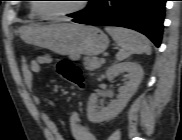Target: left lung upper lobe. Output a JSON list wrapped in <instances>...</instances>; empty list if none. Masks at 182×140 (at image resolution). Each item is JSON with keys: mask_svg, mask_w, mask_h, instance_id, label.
<instances>
[{"mask_svg": "<svg viewBox=\"0 0 182 140\" xmlns=\"http://www.w3.org/2000/svg\"><path fill=\"white\" fill-rule=\"evenodd\" d=\"M98 1H99V0H92V1H91V4L88 5V7H87L85 10L78 12V14H81V13H83V12L88 11V10H89L90 8H92Z\"/></svg>", "mask_w": 182, "mask_h": 140, "instance_id": "obj_1", "label": "left lung upper lobe"}]
</instances>
